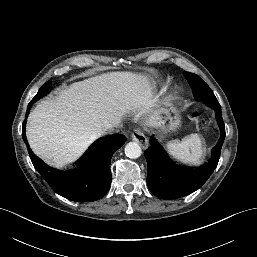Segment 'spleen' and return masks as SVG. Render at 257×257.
Returning a JSON list of instances; mask_svg holds the SVG:
<instances>
[{"label":"spleen","mask_w":257,"mask_h":257,"mask_svg":"<svg viewBox=\"0 0 257 257\" xmlns=\"http://www.w3.org/2000/svg\"><path fill=\"white\" fill-rule=\"evenodd\" d=\"M165 147L175 160L189 165L200 164L205 154L203 138L197 133L185 136L181 141L172 140Z\"/></svg>","instance_id":"obj_1"}]
</instances>
